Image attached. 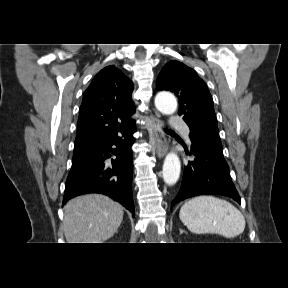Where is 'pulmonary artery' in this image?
Listing matches in <instances>:
<instances>
[{"label": "pulmonary artery", "mask_w": 288, "mask_h": 288, "mask_svg": "<svg viewBox=\"0 0 288 288\" xmlns=\"http://www.w3.org/2000/svg\"><path fill=\"white\" fill-rule=\"evenodd\" d=\"M170 127L183 130L186 138H189V129L186 127L185 122L180 117L172 115L170 117Z\"/></svg>", "instance_id": "pulmonary-artery-1"}]
</instances>
